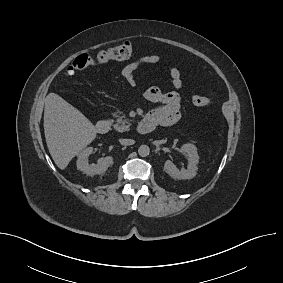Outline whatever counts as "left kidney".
Masks as SVG:
<instances>
[{
	"instance_id": "obj_1",
	"label": "left kidney",
	"mask_w": 283,
	"mask_h": 283,
	"mask_svg": "<svg viewBox=\"0 0 283 283\" xmlns=\"http://www.w3.org/2000/svg\"><path fill=\"white\" fill-rule=\"evenodd\" d=\"M180 152L188 157L189 165L187 169L179 170L171 160H167L164 164V170L171 177L176 179H192L197 174V164L199 162V156L195 145L187 143L182 145Z\"/></svg>"
}]
</instances>
